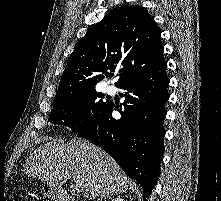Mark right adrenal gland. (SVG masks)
I'll use <instances>...</instances> for the list:
<instances>
[{
    "label": "right adrenal gland",
    "instance_id": "obj_1",
    "mask_svg": "<svg viewBox=\"0 0 221 201\" xmlns=\"http://www.w3.org/2000/svg\"><path fill=\"white\" fill-rule=\"evenodd\" d=\"M111 195H106V196H101L98 198V201H102V199L104 198H110Z\"/></svg>",
    "mask_w": 221,
    "mask_h": 201
}]
</instances>
